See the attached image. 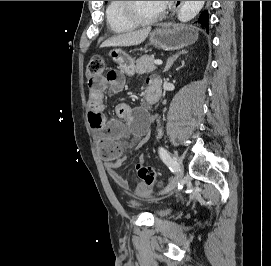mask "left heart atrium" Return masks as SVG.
Listing matches in <instances>:
<instances>
[{"mask_svg":"<svg viewBox=\"0 0 271 266\" xmlns=\"http://www.w3.org/2000/svg\"><path fill=\"white\" fill-rule=\"evenodd\" d=\"M158 2L163 7V6L167 5V4H169L171 1H158Z\"/></svg>","mask_w":271,"mask_h":266,"instance_id":"obj_1","label":"left heart atrium"}]
</instances>
